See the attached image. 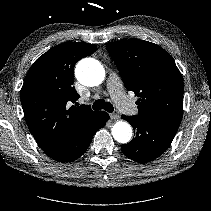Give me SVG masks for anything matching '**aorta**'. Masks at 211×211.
<instances>
[{"instance_id": "762f6f07", "label": "aorta", "mask_w": 211, "mask_h": 211, "mask_svg": "<svg viewBox=\"0 0 211 211\" xmlns=\"http://www.w3.org/2000/svg\"><path fill=\"white\" fill-rule=\"evenodd\" d=\"M75 74L77 80L85 86H97L105 78L103 66L93 58H85L78 62ZM112 135L119 143H127L132 137V128L127 122L119 121L112 127Z\"/></svg>"}]
</instances>
